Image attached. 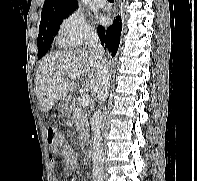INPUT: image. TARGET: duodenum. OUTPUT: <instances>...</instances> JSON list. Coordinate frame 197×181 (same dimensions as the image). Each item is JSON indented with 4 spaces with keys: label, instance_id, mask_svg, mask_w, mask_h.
Returning a JSON list of instances; mask_svg holds the SVG:
<instances>
[{
    "label": "duodenum",
    "instance_id": "duodenum-1",
    "mask_svg": "<svg viewBox=\"0 0 197 181\" xmlns=\"http://www.w3.org/2000/svg\"><path fill=\"white\" fill-rule=\"evenodd\" d=\"M86 151H87L88 154H90L91 153V147H86Z\"/></svg>",
    "mask_w": 197,
    "mask_h": 181
}]
</instances>
